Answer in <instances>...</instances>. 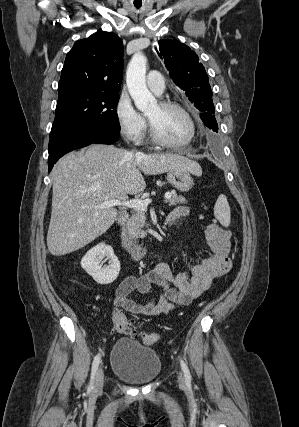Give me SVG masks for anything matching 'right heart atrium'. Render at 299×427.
Listing matches in <instances>:
<instances>
[{
  "mask_svg": "<svg viewBox=\"0 0 299 427\" xmlns=\"http://www.w3.org/2000/svg\"><path fill=\"white\" fill-rule=\"evenodd\" d=\"M115 117L119 132L126 140L140 143L144 139L147 128L145 118L126 94H121L116 102Z\"/></svg>",
  "mask_w": 299,
  "mask_h": 427,
  "instance_id": "1",
  "label": "right heart atrium"
}]
</instances>
